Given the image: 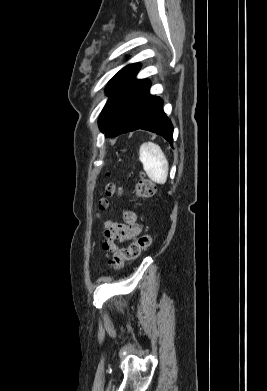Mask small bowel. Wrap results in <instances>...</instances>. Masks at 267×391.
I'll use <instances>...</instances> for the list:
<instances>
[{
    "instance_id": "small-bowel-1",
    "label": "small bowel",
    "mask_w": 267,
    "mask_h": 391,
    "mask_svg": "<svg viewBox=\"0 0 267 391\" xmlns=\"http://www.w3.org/2000/svg\"><path fill=\"white\" fill-rule=\"evenodd\" d=\"M124 218V223L107 221L104 224L102 248L105 252L115 253L119 243L130 241L141 232L142 225L133 212H125Z\"/></svg>"
}]
</instances>
